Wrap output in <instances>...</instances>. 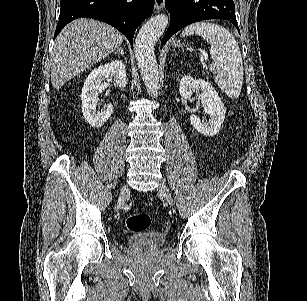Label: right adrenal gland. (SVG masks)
<instances>
[{"label": "right adrenal gland", "mask_w": 307, "mask_h": 301, "mask_svg": "<svg viewBox=\"0 0 307 301\" xmlns=\"http://www.w3.org/2000/svg\"><path fill=\"white\" fill-rule=\"evenodd\" d=\"M117 52H119V54H122V56H124V48H123V46H120V48H118V50H114V54H117Z\"/></svg>", "instance_id": "2a0ac1e0"}]
</instances>
